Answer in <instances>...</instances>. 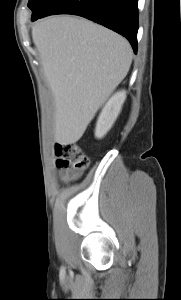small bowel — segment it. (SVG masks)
Masks as SVG:
<instances>
[{"label":"small bowel","mask_w":181,"mask_h":300,"mask_svg":"<svg viewBox=\"0 0 181 300\" xmlns=\"http://www.w3.org/2000/svg\"><path fill=\"white\" fill-rule=\"evenodd\" d=\"M59 177L63 181H69L75 177V175L70 174L67 170H60L59 171Z\"/></svg>","instance_id":"c3829d8e"}]
</instances>
